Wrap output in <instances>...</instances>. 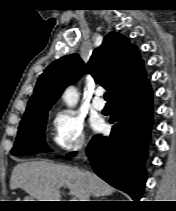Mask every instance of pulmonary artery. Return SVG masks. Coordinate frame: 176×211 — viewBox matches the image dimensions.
<instances>
[{"instance_id":"1","label":"pulmonary artery","mask_w":176,"mask_h":211,"mask_svg":"<svg viewBox=\"0 0 176 211\" xmlns=\"http://www.w3.org/2000/svg\"><path fill=\"white\" fill-rule=\"evenodd\" d=\"M102 93H103V91L101 89H99L96 92V96L93 99V106L97 110H103L105 107V102L102 98Z\"/></svg>"}]
</instances>
